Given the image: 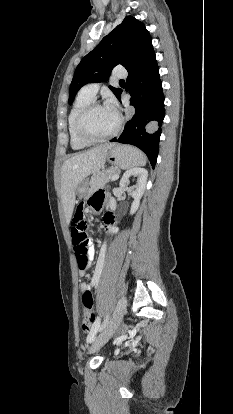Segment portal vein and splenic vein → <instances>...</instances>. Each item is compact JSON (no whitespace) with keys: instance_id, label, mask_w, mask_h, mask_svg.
Returning <instances> with one entry per match:
<instances>
[{"instance_id":"18ae733b","label":"portal vein and splenic vein","mask_w":233,"mask_h":414,"mask_svg":"<svg viewBox=\"0 0 233 414\" xmlns=\"http://www.w3.org/2000/svg\"><path fill=\"white\" fill-rule=\"evenodd\" d=\"M118 177H119V176H117V175H116V176H114V177L112 178V181H114V180L118 179Z\"/></svg>"}]
</instances>
